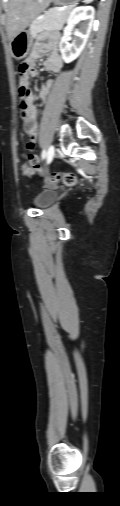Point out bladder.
Segmentation results:
<instances>
[{"mask_svg":"<svg viewBox=\"0 0 120 506\" xmlns=\"http://www.w3.org/2000/svg\"><path fill=\"white\" fill-rule=\"evenodd\" d=\"M58 197V193L52 189H45L39 192L33 199V203L38 208H46L52 204Z\"/></svg>","mask_w":120,"mask_h":506,"instance_id":"bladder-1","label":"bladder"}]
</instances>
